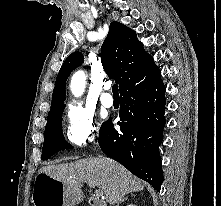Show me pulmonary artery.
Listing matches in <instances>:
<instances>
[{
    "label": "pulmonary artery",
    "mask_w": 221,
    "mask_h": 206,
    "mask_svg": "<svg viewBox=\"0 0 221 206\" xmlns=\"http://www.w3.org/2000/svg\"><path fill=\"white\" fill-rule=\"evenodd\" d=\"M110 89V85L108 83H106L104 85V90H109ZM101 103L105 106V107H111L113 105V98L109 93H103L101 95Z\"/></svg>",
    "instance_id": "pulmonary-artery-1"
}]
</instances>
